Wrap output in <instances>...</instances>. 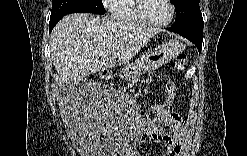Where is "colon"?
Here are the masks:
<instances>
[{"label": "colon", "mask_w": 247, "mask_h": 156, "mask_svg": "<svg viewBox=\"0 0 247 156\" xmlns=\"http://www.w3.org/2000/svg\"><path fill=\"white\" fill-rule=\"evenodd\" d=\"M187 65V57L184 54L178 55L173 61V69L175 71H183ZM166 98L164 101H158L155 107H149L150 116H148L149 128L145 130V136L148 139H154L160 134V130H163V121L168 118V113L172 112L173 99L177 94V87L172 80H168L165 85Z\"/></svg>", "instance_id": "colon-1"}]
</instances>
